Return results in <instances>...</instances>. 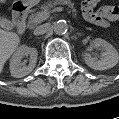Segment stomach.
<instances>
[{
	"label": "stomach",
	"mask_w": 119,
	"mask_h": 119,
	"mask_svg": "<svg viewBox=\"0 0 119 119\" xmlns=\"http://www.w3.org/2000/svg\"><path fill=\"white\" fill-rule=\"evenodd\" d=\"M22 3L27 7H32L36 5L40 0H21Z\"/></svg>",
	"instance_id": "obj_1"
}]
</instances>
